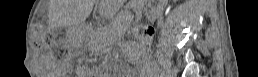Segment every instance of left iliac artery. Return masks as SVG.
Segmentation results:
<instances>
[{
	"instance_id": "left-iliac-artery-1",
	"label": "left iliac artery",
	"mask_w": 258,
	"mask_h": 77,
	"mask_svg": "<svg viewBox=\"0 0 258 77\" xmlns=\"http://www.w3.org/2000/svg\"><path fill=\"white\" fill-rule=\"evenodd\" d=\"M157 53L159 54L160 53V51H157ZM162 62V61H161Z\"/></svg>"
}]
</instances>
